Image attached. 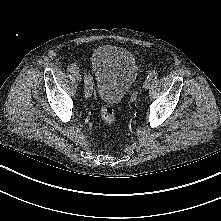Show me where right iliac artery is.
<instances>
[{"label": "right iliac artery", "mask_w": 221, "mask_h": 221, "mask_svg": "<svg viewBox=\"0 0 221 221\" xmlns=\"http://www.w3.org/2000/svg\"><path fill=\"white\" fill-rule=\"evenodd\" d=\"M68 70L71 73H76L79 72L78 67L75 64H70L68 66ZM84 92H85V97L90 98L92 96L93 92V82L90 76L85 75L84 77Z\"/></svg>", "instance_id": "right-iliac-artery-1"}]
</instances>
